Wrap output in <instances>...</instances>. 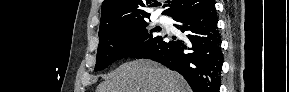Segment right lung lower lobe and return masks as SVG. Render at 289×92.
<instances>
[{
    "label": "right lung lower lobe",
    "mask_w": 289,
    "mask_h": 92,
    "mask_svg": "<svg viewBox=\"0 0 289 92\" xmlns=\"http://www.w3.org/2000/svg\"><path fill=\"white\" fill-rule=\"evenodd\" d=\"M185 40L162 39L136 58H148L182 74L193 92H217L223 63L215 1L173 17ZM175 39V38H174Z\"/></svg>",
    "instance_id": "1"
}]
</instances>
